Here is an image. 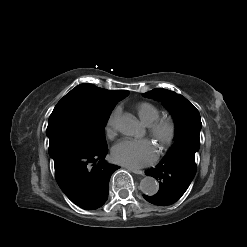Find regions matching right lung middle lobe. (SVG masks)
<instances>
[{
  "label": "right lung middle lobe",
  "instance_id": "1",
  "mask_svg": "<svg viewBox=\"0 0 247 247\" xmlns=\"http://www.w3.org/2000/svg\"><path fill=\"white\" fill-rule=\"evenodd\" d=\"M118 101L103 102L72 89L55 106L46 134L49 139L65 138L91 149L106 148L105 125Z\"/></svg>",
  "mask_w": 247,
  "mask_h": 247
}]
</instances>
